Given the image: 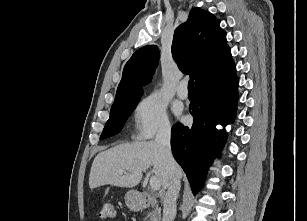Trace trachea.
<instances>
[{"instance_id": "obj_1", "label": "trachea", "mask_w": 307, "mask_h": 221, "mask_svg": "<svg viewBox=\"0 0 307 221\" xmlns=\"http://www.w3.org/2000/svg\"><path fill=\"white\" fill-rule=\"evenodd\" d=\"M188 90H194V80L190 79L188 81Z\"/></svg>"}]
</instances>
